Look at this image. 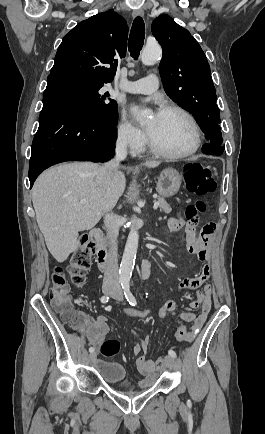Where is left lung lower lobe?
<instances>
[{"label": "left lung lower lobe", "mask_w": 265, "mask_h": 434, "mask_svg": "<svg viewBox=\"0 0 265 434\" xmlns=\"http://www.w3.org/2000/svg\"><path fill=\"white\" fill-rule=\"evenodd\" d=\"M203 153L211 154V155H221L224 151V148H216L210 144H205L202 147Z\"/></svg>", "instance_id": "left-lung-lower-lobe-1"}]
</instances>
